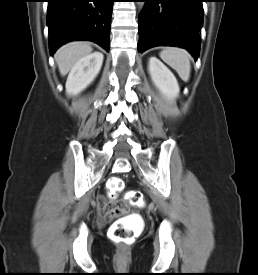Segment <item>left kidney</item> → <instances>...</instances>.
I'll use <instances>...</instances> for the list:
<instances>
[{
	"label": "left kidney",
	"mask_w": 258,
	"mask_h": 275,
	"mask_svg": "<svg viewBox=\"0 0 258 275\" xmlns=\"http://www.w3.org/2000/svg\"><path fill=\"white\" fill-rule=\"evenodd\" d=\"M149 74L155 86L168 99L178 97L180 88L174 74L156 57H150Z\"/></svg>",
	"instance_id": "1"
}]
</instances>
